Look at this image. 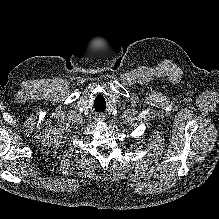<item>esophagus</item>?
<instances>
[{
  "mask_svg": "<svg viewBox=\"0 0 219 219\" xmlns=\"http://www.w3.org/2000/svg\"><path fill=\"white\" fill-rule=\"evenodd\" d=\"M104 119H105L104 116L101 114H98L94 117L95 122H102V121H104Z\"/></svg>",
  "mask_w": 219,
  "mask_h": 219,
  "instance_id": "esophagus-1",
  "label": "esophagus"
}]
</instances>
